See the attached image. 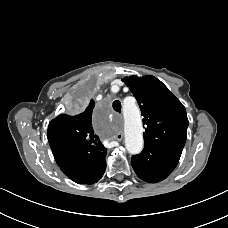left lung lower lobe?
Listing matches in <instances>:
<instances>
[{"label": "left lung lower lobe", "instance_id": "left-lung-lower-lobe-1", "mask_svg": "<svg viewBox=\"0 0 228 228\" xmlns=\"http://www.w3.org/2000/svg\"><path fill=\"white\" fill-rule=\"evenodd\" d=\"M180 151L144 145L143 151L132 156L131 164L142 180L155 183L164 180L176 167Z\"/></svg>", "mask_w": 228, "mask_h": 228}]
</instances>
